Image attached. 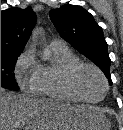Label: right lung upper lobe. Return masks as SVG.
Wrapping results in <instances>:
<instances>
[{
    "label": "right lung upper lobe",
    "instance_id": "1",
    "mask_svg": "<svg viewBox=\"0 0 123 130\" xmlns=\"http://www.w3.org/2000/svg\"><path fill=\"white\" fill-rule=\"evenodd\" d=\"M35 22L31 7L1 11V54L21 53Z\"/></svg>",
    "mask_w": 123,
    "mask_h": 130
}]
</instances>
